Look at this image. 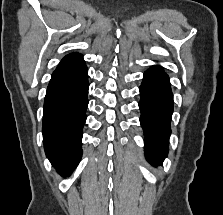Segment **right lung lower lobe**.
Segmentation results:
<instances>
[{
  "mask_svg": "<svg viewBox=\"0 0 223 215\" xmlns=\"http://www.w3.org/2000/svg\"><path fill=\"white\" fill-rule=\"evenodd\" d=\"M87 68L68 79L49 83L44 100L43 142L47 158L68 176L81 156L89 88Z\"/></svg>",
  "mask_w": 223,
  "mask_h": 215,
  "instance_id": "obj_1",
  "label": "right lung lower lobe"
}]
</instances>
